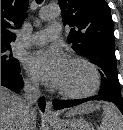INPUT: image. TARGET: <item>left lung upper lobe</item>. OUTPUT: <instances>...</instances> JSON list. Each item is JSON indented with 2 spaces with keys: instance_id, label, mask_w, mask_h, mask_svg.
Returning <instances> with one entry per match:
<instances>
[{
  "instance_id": "5c2ea615",
  "label": "left lung upper lobe",
  "mask_w": 123,
  "mask_h": 130,
  "mask_svg": "<svg viewBox=\"0 0 123 130\" xmlns=\"http://www.w3.org/2000/svg\"><path fill=\"white\" fill-rule=\"evenodd\" d=\"M64 25L71 27L68 42L74 51L100 68V96L123 106L116 74L114 24L105 0H58Z\"/></svg>"
}]
</instances>
